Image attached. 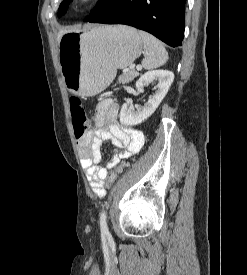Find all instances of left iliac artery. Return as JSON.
Segmentation results:
<instances>
[{"label": "left iliac artery", "mask_w": 247, "mask_h": 275, "mask_svg": "<svg viewBox=\"0 0 247 275\" xmlns=\"http://www.w3.org/2000/svg\"><path fill=\"white\" fill-rule=\"evenodd\" d=\"M100 228H101V233L103 235H108V227H107V220H106V212L102 211L100 214Z\"/></svg>", "instance_id": "1"}]
</instances>
